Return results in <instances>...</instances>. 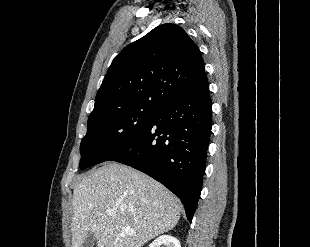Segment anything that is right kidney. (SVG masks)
<instances>
[{"label":"right kidney","mask_w":310,"mask_h":247,"mask_svg":"<svg viewBox=\"0 0 310 247\" xmlns=\"http://www.w3.org/2000/svg\"><path fill=\"white\" fill-rule=\"evenodd\" d=\"M149 247H181L177 238L171 235H162L156 238Z\"/></svg>","instance_id":"1"}]
</instances>
